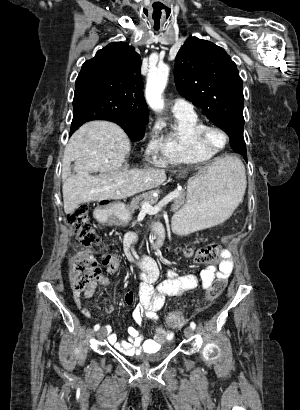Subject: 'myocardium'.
Masks as SVG:
<instances>
[{
    "mask_svg": "<svg viewBox=\"0 0 300 410\" xmlns=\"http://www.w3.org/2000/svg\"><path fill=\"white\" fill-rule=\"evenodd\" d=\"M211 130H217L220 133H222V135L225 137V143L222 147H213L209 140H208V133ZM199 142L201 144V146L209 151H212L214 153H219L221 151H223L230 143V136L228 134V132L221 127L220 125L217 124H205L200 132H199Z\"/></svg>",
    "mask_w": 300,
    "mask_h": 410,
    "instance_id": "myocardium-1",
    "label": "myocardium"
}]
</instances>
